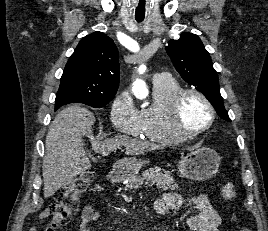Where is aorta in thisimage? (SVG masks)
I'll use <instances>...</instances> for the list:
<instances>
[{
  "label": "aorta",
  "mask_w": 268,
  "mask_h": 231,
  "mask_svg": "<svg viewBox=\"0 0 268 231\" xmlns=\"http://www.w3.org/2000/svg\"><path fill=\"white\" fill-rule=\"evenodd\" d=\"M132 91L139 99H144L148 95L147 85L143 80H136L133 84Z\"/></svg>",
  "instance_id": "762f6f07"
}]
</instances>
